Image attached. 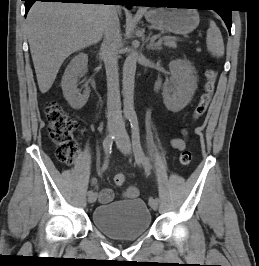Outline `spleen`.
I'll use <instances>...</instances> for the list:
<instances>
[{
    "instance_id": "3e777b00",
    "label": "spleen",
    "mask_w": 259,
    "mask_h": 266,
    "mask_svg": "<svg viewBox=\"0 0 259 266\" xmlns=\"http://www.w3.org/2000/svg\"><path fill=\"white\" fill-rule=\"evenodd\" d=\"M206 44L208 51L215 57H222L224 55V42L219 28L212 20L209 22V29L207 30Z\"/></svg>"
}]
</instances>
